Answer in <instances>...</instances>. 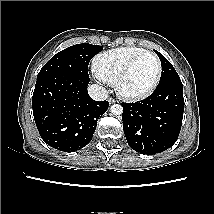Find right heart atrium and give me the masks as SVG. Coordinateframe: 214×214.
Wrapping results in <instances>:
<instances>
[{
  "instance_id": "1",
  "label": "right heart atrium",
  "mask_w": 214,
  "mask_h": 214,
  "mask_svg": "<svg viewBox=\"0 0 214 214\" xmlns=\"http://www.w3.org/2000/svg\"><path fill=\"white\" fill-rule=\"evenodd\" d=\"M96 76V78L98 79V80H100V81H102V82H105L103 79H101L99 76H97V75H95ZM106 83V82H105Z\"/></svg>"
}]
</instances>
